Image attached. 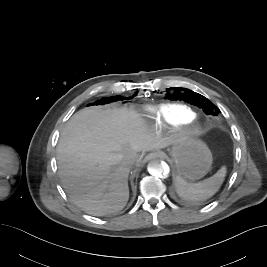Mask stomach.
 <instances>
[{"instance_id": "stomach-1", "label": "stomach", "mask_w": 267, "mask_h": 267, "mask_svg": "<svg viewBox=\"0 0 267 267\" xmlns=\"http://www.w3.org/2000/svg\"><path fill=\"white\" fill-rule=\"evenodd\" d=\"M169 154L180 177L189 181L203 178L211 169L212 154L201 140L191 137L177 139Z\"/></svg>"}]
</instances>
